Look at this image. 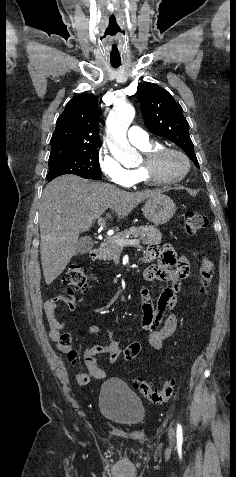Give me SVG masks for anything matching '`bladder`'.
Wrapping results in <instances>:
<instances>
[{"mask_svg": "<svg viewBox=\"0 0 236 477\" xmlns=\"http://www.w3.org/2000/svg\"><path fill=\"white\" fill-rule=\"evenodd\" d=\"M98 402L104 418L114 424L136 427L145 420L144 405L137 395L118 378H110L102 383Z\"/></svg>", "mask_w": 236, "mask_h": 477, "instance_id": "obj_1", "label": "bladder"}]
</instances>
